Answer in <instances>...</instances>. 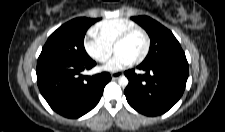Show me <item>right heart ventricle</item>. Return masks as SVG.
<instances>
[{"label": "right heart ventricle", "instance_id": "obj_1", "mask_svg": "<svg viewBox=\"0 0 225 132\" xmlns=\"http://www.w3.org/2000/svg\"><path fill=\"white\" fill-rule=\"evenodd\" d=\"M137 24L129 19L114 18L103 20L95 25L94 34L103 43L113 47L116 39L127 29L136 27Z\"/></svg>", "mask_w": 225, "mask_h": 132}]
</instances>
